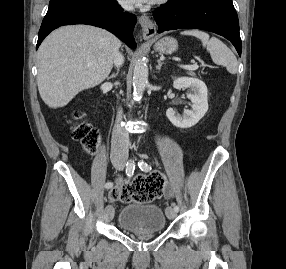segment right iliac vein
Listing matches in <instances>:
<instances>
[{"instance_id":"obj_1","label":"right iliac vein","mask_w":286,"mask_h":269,"mask_svg":"<svg viewBox=\"0 0 286 269\" xmlns=\"http://www.w3.org/2000/svg\"><path fill=\"white\" fill-rule=\"evenodd\" d=\"M114 217V208L111 205L106 206L104 210V219L106 221H111Z\"/></svg>"}]
</instances>
